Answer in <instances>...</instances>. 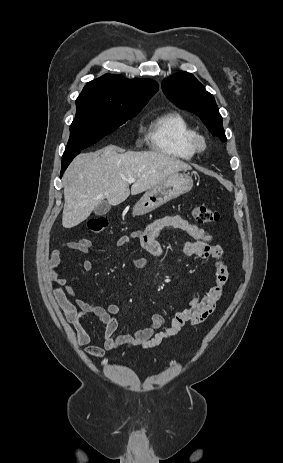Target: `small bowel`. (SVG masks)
Returning a JSON list of instances; mask_svg holds the SVG:
<instances>
[{
  "label": "small bowel",
  "mask_w": 283,
  "mask_h": 463,
  "mask_svg": "<svg viewBox=\"0 0 283 463\" xmlns=\"http://www.w3.org/2000/svg\"><path fill=\"white\" fill-rule=\"evenodd\" d=\"M167 228L181 230L194 239L182 246L184 255L214 259L216 263L214 286L202 298L191 300L188 307L177 312L165 328H163L164 317L160 314H154L146 325L135 330L132 334H117L119 305L110 303L106 307H102L87 303L76 294L71 283L58 274L62 248L88 253L92 247V241L86 238L67 241L62 243L60 247L51 250L48 261L49 278L52 282L51 293L58 307L63 310L66 321L74 327L77 342L84 347L86 355L101 359L107 351L119 348L140 347L149 349L156 347L163 341L175 337L185 326L200 324L215 310L228 282L229 270L223 259L222 247L214 244L212 236L204 229L179 215H170L154 220L142 230L118 237L116 246L122 247L131 240H138L142 248L152 256V259L135 257L132 259V263L139 268H145L154 259L163 256L164 252L158 241V236ZM82 268L84 271H90L93 268V263L86 259L82 262ZM88 315L98 318L106 327L102 346L89 345L91 338L81 322L82 317Z\"/></svg>",
  "instance_id": "small-bowel-1"
}]
</instances>
